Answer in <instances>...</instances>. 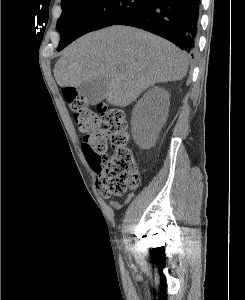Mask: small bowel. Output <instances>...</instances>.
<instances>
[{
	"mask_svg": "<svg viewBox=\"0 0 245 300\" xmlns=\"http://www.w3.org/2000/svg\"><path fill=\"white\" fill-rule=\"evenodd\" d=\"M134 194L133 193H130L127 195L126 197V200H125V203H128L132 198H133ZM112 205L115 207V208H119L121 205L117 202H113Z\"/></svg>",
	"mask_w": 245,
	"mask_h": 300,
	"instance_id": "obj_1",
	"label": "small bowel"
}]
</instances>
